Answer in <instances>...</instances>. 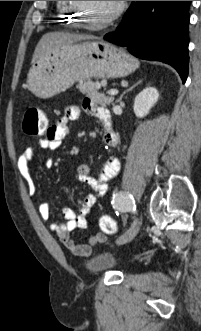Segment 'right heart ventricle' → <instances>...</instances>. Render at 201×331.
<instances>
[{
	"mask_svg": "<svg viewBox=\"0 0 201 331\" xmlns=\"http://www.w3.org/2000/svg\"><path fill=\"white\" fill-rule=\"evenodd\" d=\"M59 19L66 22L65 26L72 27L77 25L76 12L71 8L70 1H56Z\"/></svg>",
	"mask_w": 201,
	"mask_h": 331,
	"instance_id": "right-heart-ventricle-1",
	"label": "right heart ventricle"
}]
</instances>
